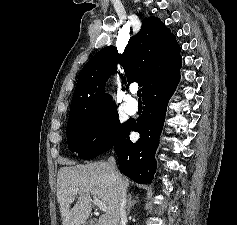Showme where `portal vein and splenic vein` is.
<instances>
[{
	"label": "portal vein and splenic vein",
	"mask_w": 237,
	"mask_h": 225,
	"mask_svg": "<svg viewBox=\"0 0 237 225\" xmlns=\"http://www.w3.org/2000/svg\"><path fill=\"white\" fill-rule=\"evenodd\" d=\"M93 200L94 203L96 204V206L102 210L105 211L106 210V206L102 203V201H100L95 195H93Z\"/></svg>",
	"instance_id": "obj_1"
}]
</instances>
